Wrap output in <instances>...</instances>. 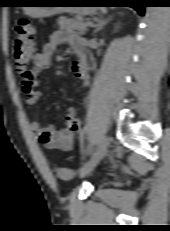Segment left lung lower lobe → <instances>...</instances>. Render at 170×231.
I'll return each mask as SVG.
<instances>
[{
	"mask_svg": "<svg viewBox=\"0 0 170 231\" xmlns=\"http://www.w3.org/2000/svg\"><path fill=\"white\" fill-rule=\"evenodd\" d=\"M101 4H103V6L117 4L116 6L132 7L137 10L140 15H144L147 0H101Z\"/></svg>",
	"mask_w": 170,
	"mask_h": 231,
	"instance_id": "1",
	"label": "left lung lower lobe"
}]
</instances>
